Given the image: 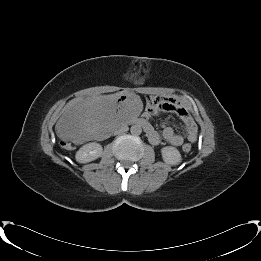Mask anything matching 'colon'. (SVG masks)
I'll return each mask as SVG.
<instances>
[{"instance_id": "5ec220e1", "label": "colon", "mask_w": 261, "mask_h": 261, "mask_svg": "<svg viewBox=\"0 0 261 261\" xmlns=\"http://www.w3.org/2000/svg\"><path fill=\"white\" fill-rule=\"evenodd\" d=\"M64 144L68 145L67 143ZM182 149L185 153H189L191 151V146L189 144H184Z\"/></svg>"}]
</instances>
